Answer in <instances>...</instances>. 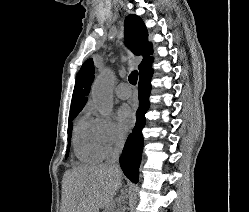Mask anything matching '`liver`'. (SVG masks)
I'll return each instance as SVG.
<instances>
[{
  "label": "liver",
  "instance_id": "1",
  "mask_svg": "<svg viewBox=\"0 0 249 212\" xmlns=\"http://www.w3.org/2000/svg\"><path fill=\"white\" fill-rule=\"evenodd\" d=\"M122 172L109 164L79 166L65 172L66 212L108 210L119 188Z\"/></svg>",
  "mask_w": 249,
  "mask_h": 212
}]
</instances>
